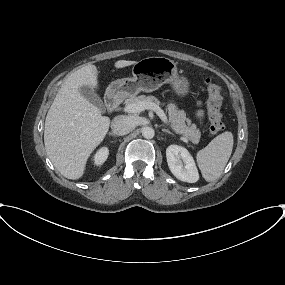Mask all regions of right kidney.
Segmentation results:
<instances>
[{
	"mask_svg": "<svg viewBox=\"0 0 285 285\" xmlns=\"http://www.w3.org/2000/svg\"><path fill=\"white\" fill-rule=\"evenodd\" d=\"M108 154L109 150L107 147L100 148L94 156L95 165H102L106 161Z\"/></svg>",
	"mask_w": 285,
	"mask_h": 285,
	"instance_id": "right-kidney-1",
	"label": "right kidney"
}]
</instances>
